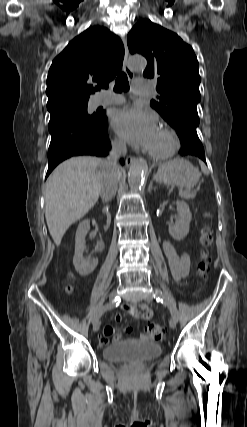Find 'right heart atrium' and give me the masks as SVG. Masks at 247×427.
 <instances>
[{
    "label": "right heart atrium",
    "mask_w": 247,
    "mask_h": 427,
    "mask_svg": "<svg viewBox=\"0 0 247 427\" xmlns=\"http://www.w3.org/2000/svg\"><path fill=\"white\" fill-rule=\"evenodd\" d=\"M112 143L113 146L118 150H121L124 147L123 142L119 139H114Z\"/></svg>",
    "instance_id": "obj_1"
}]
</instances>
